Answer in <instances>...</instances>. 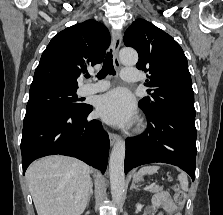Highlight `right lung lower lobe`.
<instances>
[{"instance_id": "98d812e1", "label": "right lung lower lobe", "mask_w": 223, "mask_h": 215, "mask_svg": "<svg viewBox=\"0 0 223 215\" xmlns=\"http://www.w3.org/2000/svg\"><path fill=\"white\" fill-rule=\"evenodd\" d=\"M92 110L87 105L82 112L56 111L24 118L20 145L23 174L34 160L53 154L76 157L104 172L109 138L100 121H87Z\"/></svg>"}]
</instances>
